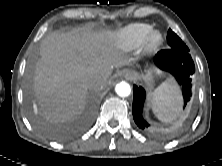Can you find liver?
I'll return each instance as SVG.
<instances>
[{
	"label": "liver",
	"mask_w": 222,
	"mask_h": 166,
	"mask_svg": "<svg viewBox=\"0 0 222 166\" xmlns=\"http://www.w3.org/2000/svg\"><path fill=\"white\" fill-rule=\"evenodd\" d=\"M108 33L73 30L51 33L42 41L34 91L48 121L71 120L82 110L88 91L100 89L92 80H101L105 86L114 68L130 63L113 47Z\"/></svg>",
	"instance_id": "1"
}]
</instances>
